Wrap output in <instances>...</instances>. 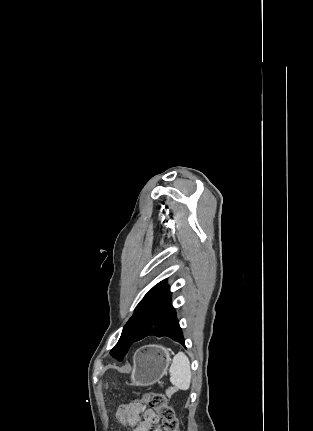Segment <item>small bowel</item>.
Segmentation results:
<instances>
[{
  "instance_id": "small-bowel-1",
  "label": "small bowel",
  "mask_w": 313,
  "mask_h": 431,
  "mask_svg": "<svg viewBox=\"0 0 313 431\" xmlns=\"http://www.w3.org/2000/svg\"><path fill=\"white\" fill-rule=\"evenodd\" d=\"M120 423L133 431H150L158 422L157 414L139 403L122 405L117 410Z\"/></svg>"
}]
</instances>
